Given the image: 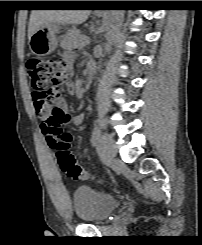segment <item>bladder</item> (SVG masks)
Returning <instances> with one entry per match:
<instances>
[{"instance_id": "obj_1", "label": "bladder", "mask_w": 202, "mask_h": 245, "mask_svg": "<svg viewBox=\"0 0 202 245\" xmlns=\"http://www.w3.org/2000/svg\"><path fill=\"white\" fill-rule=\"evenodd\" d=\"M72 204L78 218L90 224L102 223L118 206L114 196L88 186H80L74 191Z\"/></svg>"}]
</instances>
